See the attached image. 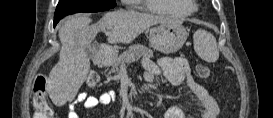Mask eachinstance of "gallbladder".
Masks as SVG:
<instances>
[{
  "mask_svg": "<svg viewBox=\"0 0 273 118\" xmlns=\"http://www.w3.org/2000/svg\"><path fill=\"white\" fill-rule=\"evenodd\" d=\"M86 52H87L89 57H92L94 55V50H93L92 46L91 47L90 46L86 47Z\"/></svg>",
  "mask_w": 273,
  "mask_h": 118,
  "instance_id": "bac80fb5",
  "label": "gallbladder"
}]
</instances>
